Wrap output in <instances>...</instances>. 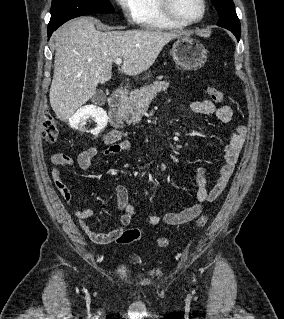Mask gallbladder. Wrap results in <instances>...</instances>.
<instances>
[{
  "instance_id": "bac80fb5",
  "label": "gallbladder",
  "mask_w": 284,
  "mask_h": 319,
  "mask_svg": "<svg viewBox=\"0 0 284 319\" xmlns=\"http://www.w3.org/2000/svg\"><path fill=\"white\" fill-rule=\"evenodd\" d=\"M106 99H107V94L103 90L99 89L92 96L91 102L95 105H103L105 104Z\"/></svg>"
}]
</instances>
